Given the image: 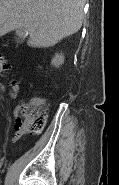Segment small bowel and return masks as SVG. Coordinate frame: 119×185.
I'll return each instance as SVG.
<instances>
[{"label":"small bowel","instance_id":"c3829d8e","mask_svg":"<svg viewBox=\"0 0 119 185\" xmlns=\"http://www.w3.org/2000/svg\"><path fill=\"white\" fill-rule=\"evenodd\" d=\"M4 70L9 69V66H4L3 67ZM20 91V81H14L12 83V92H11V96L12 97H17L18 93ZM21 107L17 106L15 108L14 114L16 116L17 119V127H16V133H15V137L13 140H16L20 137L24 138L28 132L27 130V120L24 118L23 121H21V119L19 118V113H20Z\"/></svg>","mask_w":119,"mask_h":185}]
</instances>
